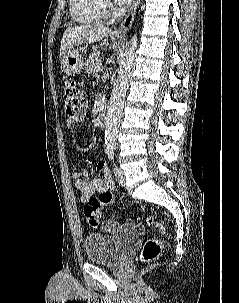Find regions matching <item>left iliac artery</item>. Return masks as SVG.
<instances>
[{"label": "left iliac artery", "mask_w": 239, "mask_h": 303, "mask_svg": "<svg viewBox=\"0 0 239 303\" xmlns=\"http://www.w3.org/2000/svg\"><path fill=\"white\" fill-rule=\"evenodd\" d=\"M115 149H116V143H114V142H108L107 143V155H108L109 160H111L112 162L114 160V151H115ZM117 168L118 167H116L114 165V168H113L114 173L116 172Z\"/></svg>", "instance_id": "44dca946"}]
</instances>
